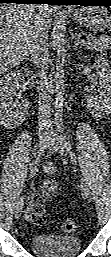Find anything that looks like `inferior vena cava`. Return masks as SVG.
<instances>
[{
  "instance_id": "obj_1",
  "label": "inferior vena cava",
  "mask_w": 111,
  "mask_h": 257,
  "mask_svg": "<svg viewBox=\"0 0 111 257\" xmlns=\"http://www.w3.org/2000/svg\"><path fill=\"white\" fill-rule=\"evenodd\" d=\"M48 31L38 26L30 43V54L33 63L38 69V99H39V126L40 129L51 127L50 85L47 78Z\"/></svg>"
}]
</instances>
